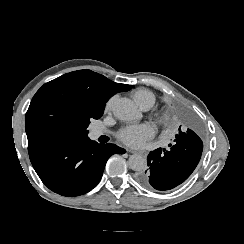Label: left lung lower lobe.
<instances>
[{
  "mask_svg": "<svg viewBox=\"0 0 244 244\" xmlns=\"http://www.w3.org/2000/svg\"><path fill=\"white\" fill-rule=\"evenodd\" d=\"M180 122L169 148L149 153L148 168L137 175V181L143 187L170 190L183 183L198 165L203 150L199 125L188 115H182Z\"/></svg>",
  "mask_w": 244,
  "mask_h": 244,
  "instance_id": "0a47b994",
  "label": "left lung lower lobe"
}]
</instances>
